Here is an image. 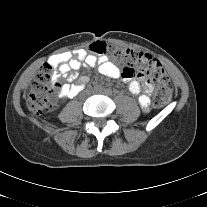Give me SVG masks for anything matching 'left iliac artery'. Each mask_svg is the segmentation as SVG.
Listing matches in <instances>:
<instances>
[{
	"instance_id": "44dca946",
	"label": "left iliac artery",
	"mask_w": 207,
	"mask_h": 207,
	"mask_svg": "<svg viewBox=\"0 0 207 207\" xmlns=\"http://www.w3.org/2000/svg\"><path fill=\"white\" fill-rule=\"evenodd\" d=\"M106 92H107V94H109V95H111V94H112V91H111V90H109V89H108Z\"/></svg>"
}]
</instances>
